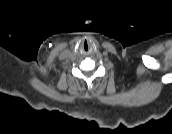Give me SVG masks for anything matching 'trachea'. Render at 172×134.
<instances>
[{
    "instance_id": "3493384b",
    "label": "trachea",
    "mask_w": 172,
    "mask_h": 134,
    "mask_svg": "<svg viewBox=\"0 0 172 134\" xmlns=\"http://www.w3.org/2000/svg\"><path fill=\"white\" fill-rule=\"evenodd\" d=\"M85 46H87V41L85 40Z\"/></svg>"
}]
</instances>
